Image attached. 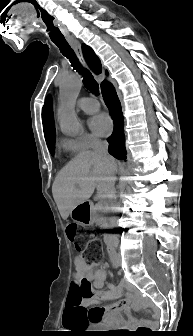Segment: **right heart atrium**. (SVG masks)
Listing matches in <instances>:
<instances>
[{
	"mask_svg": "<svg viewBox=\"0 0 193 336\" xmlns=\"http://www.w3.org/2000/svg\"><path fill=\"white\" fill-rule=\"evenodd\" d=\"M65 147L73 152H85L99 143V139L89 133H81L75 138L65 140Z\"/></svg>",
	"mask_w": 193,
	"mask_h": 336,
	"instance_id": "obj_1",
	"label": "right heart atrium"
}]
</instances>
